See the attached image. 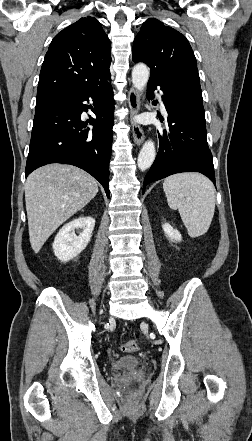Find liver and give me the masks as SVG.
I'll return each instance as SVG.
<instances>
[{
    "instance_id": "liver-1",
    "label": "liver",
    "mask_w": 252,
    "mask_h": 441,
    "mask_svg": "<svg viewBox=\"0 0 252 441\" xmlns=\"http://www.w3.org/2000/svg\"><path fill=\"white\" fill-rule=\"evenodd\" d=\"M97 192V181L72 165L55 163L32 172L25 184V202L33 251L38 253L51 234Z\"/></svg>"
}]
</instances>
